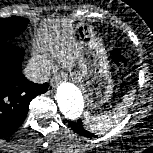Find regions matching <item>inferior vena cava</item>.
Instances as JSON below:
<instances>
[{
	"mask_svg": "<svg viewBox=\"0 0 153 153\" xmlns=\"http://www.w3.org/2000/svg\"><path fill=\"white\" fill-rule=\"evenodd\" d=\"M27 79L34 83H44L49 80V73L44 68L28 64L24 70Z\"/></svg>",
	"mask_w": 153,
	"mask_h": 153,
	"instance_id": "1",
	"label": "inferior vena cava"
}]
</instances>
